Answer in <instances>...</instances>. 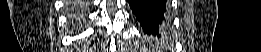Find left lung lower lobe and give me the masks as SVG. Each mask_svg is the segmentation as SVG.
<instances>
[{"label":"left lung lower lobe","instance_id":"1","mask_svg":"<svg viewBox=\"0 0 261 52\" xmlns=\"http://www.w3.org/2000/svg\"><path fill=\"white\" fill-rule=\"evenodd\" d=\"M132 12L149 37H161L169 27L167 0H128Z\"/></svg>","mask_w":261,"mask_h":52}]
</instances>
